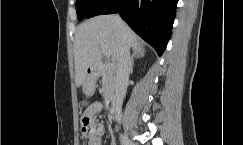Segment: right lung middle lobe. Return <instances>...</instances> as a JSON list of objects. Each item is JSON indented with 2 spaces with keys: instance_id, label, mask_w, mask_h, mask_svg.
<instances>
[{
  "instance_id": "right-lung-middle-lobe-1",
  "label": "right lung middle lobe",
  "mask_w": 243,
  "mask_h": 145,
  "mask_svg": "<svg viewBox=\"0 0 243 145\" xmlns=\"http://www.w3.org/2000/svg\"><path fill=\"white\" fill-rule=\"evenodd\" d=\"M103 0H76V11L78 20H82L91 10Z\"/></svg>"
}]
</instances>
